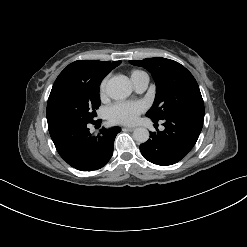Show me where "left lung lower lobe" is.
<instances>
[{
    "label": "left lung lower lobe",
    "instance_id": "0a47b994",
    "mask_svg": "<svg viewBox=\"0 0 247 247\" xmlns=\"http://www.w3.org/2000/svg\"><path fill=\"white\" fill-rule=\"evenodd\" d=\"M203 119L204 117L191 114L165 118L162 120L165 129L150 133V139L140 145L141 154L146 160L157 165L177 163L195 145L202 130Z\"/></svg>",
    "mask_w": 247,
    "mask_h": 247
}]
</instances>
